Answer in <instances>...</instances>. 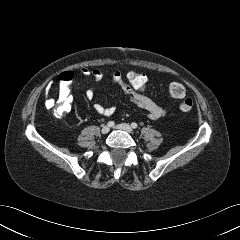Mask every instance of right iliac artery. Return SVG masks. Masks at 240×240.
<instances>
[{"mask_svg": "<svg viewBox=\"0 0 240 240\" xmlns=\"http://www.w3.org/2000/svg\"><path fill=\"white\" fill-rule=\"evenodd\" d=\"M109 127H113L115 125L114 121H109L107 124Z\"/></svg>", "mask_w": 240, "mask_h": 240, "instance_id": "1", "label": "right iliac artery"}]
</instances>
